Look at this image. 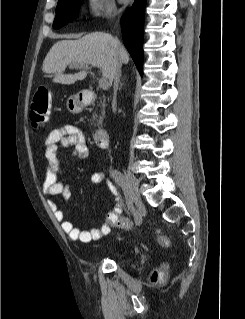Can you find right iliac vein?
Returning a JSON list of instances; mask_svg holds the SVG:
<instances>
[{
    "label": "right iliac vein",
    "instance_id": "1",
    "mask_svg": "<svg viewBox=\"0 0 245 319\" xmlns=\"http://www.w3.org/2000/svg\"><path fill=\"white\" fill-rule=\"evenodd\" d=\"M125 181L127 187L129 188V194H131L133 202L139 209L142 206V200L139 193L138 181L136 177L129 171H125Z\"/></svg>",
    "mask_w": 245,
    "mask_h": 319
}]
</instances>
